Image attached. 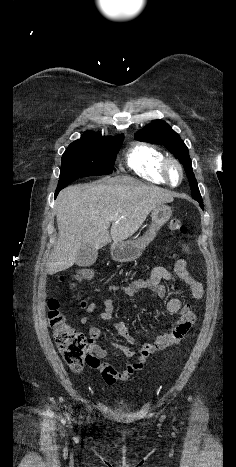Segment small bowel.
Masks as SVG:
<instances>
[{"label": "small bowel", "instance_id": "c3829d8e", "mask_svg": "<svg viewBox=\"0 0 236 467\" xmlns=\"http://www.w3.org/2000/svg\"><path fill=\"white\" fill-rule=\"evenodd\" d=\"M183 250L185 254H189L187 245H184ZM176 280H181L186 284L194 299H202L204 294L203 285L189 273L188 262L185 258H181L175 263L174 272L169 271L163 266H155L150 270L147 278H138L124 285L113 284L110 285L107 290L110 294L120 293L130 298L142 290H151L159 298H164L166 290L162 282H175ZM113 304L112 296L105 298L103 302V311L99 314L101 319L114 320ZM95 307L96 305L94 302H90L84 306L87 315L80 319L82 325H87L89 323L90 314L94 312ZM166 309L170 313L178 314V319L167 333L158 336L151 343L142 344L137 353L122 343L111 341L112 345L126 357H135L133 362L127 364L122 369H116L112 364L103 361L107 356V352L98 344L102 333L99 328L92 326L89 329V355L87 365L98 370L104 382L109 385L114 384L116 381H126L134 374L140 372L150 354L178 344L188 333L194 322L195 317L191 305L188 303L183 304L181 295L169 299L166 303ZM115 327L117 334L123 340L129 344L136 343V339L131 335L126 323L123 321H115Z\"/></svg>", "mask_w": 236, "mask_h": 467}]
</instances>
